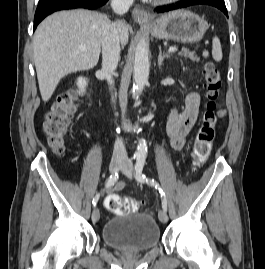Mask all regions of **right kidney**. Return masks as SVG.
Instances as JSON below:
<instances>
[{
	"label": "right kidney",
	"instance_id": "1",
	"mask_svg": "<svg viewBox=\"0 0 265 269\" xmlns=\"http://www.w3.org/2000/svg\"><path fill=\"white\" fill-rule=\"evenodd\" d=\"M87 85V79L83 77H79L77 79V86L80 88L81 92L85 90V87Z\"/></svg>",
	"mask_w": 265,
	"mask_h": 269
}]
</instances>
